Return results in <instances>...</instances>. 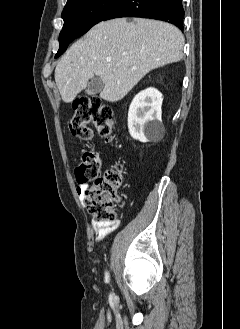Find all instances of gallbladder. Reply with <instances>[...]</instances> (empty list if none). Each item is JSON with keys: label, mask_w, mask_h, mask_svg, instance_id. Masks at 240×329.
Wrapping results in <instances>:
<instances>
[{"label": "gallbladder", "mask_w": 240, "mask_h": 329, "mask_svg": "<svg viewBox=\"0 0 240 329\" xmlns=\"http://www.w3.org/2000/svg\"><path fill=\"white\" fill-rule=\"evenodd\" d=\"M104 88V83L102 82V80L98 77L92 78L88 85H87V89H86V93L88 95H96L98 93H100Z\"/></svg>", "instance_id": "obj_1"}]
</instances>
